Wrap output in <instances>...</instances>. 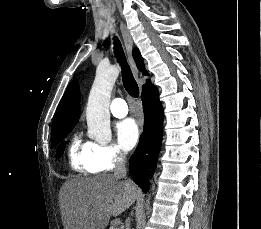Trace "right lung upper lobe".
I'll return each mask as SVG.
<instances>
[{"instance_id":"1","label":"right lung upper lobe","mask_w":261,"mask_h":229,"mask_svg":"<svg viewBox=\"0 0 261 229\" xmlns=\"http://www.w3.org/2000/svg\"><path fill=\"white\" fill-rule=\"evenodd\" d=\"M133 57L143 74L146 75L147 72L144 68V60L138 51V49H133ZM150 82L147 81L145 88ZM80 116V93L79 86L76 80L72 81L68 86L66 92L64 93L56 113L53 118L52 127L62 125V124H76ZM55 142L52 140V146Z\"/></svg>"}]
</instances>
